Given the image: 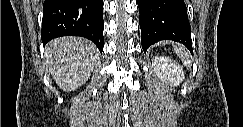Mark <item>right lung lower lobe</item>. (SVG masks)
<instances>
[{
    "mask_svg": "<svg viewBox=\"0 0 243 127\" xmlns=\"http://www.w3.org/2000/svg\"><path fill=\"white\" fill-rule=\"evenodd\" d=\"M103 0H45L41 39L45 45L60 36H82L103 51Z\"/></svg>",
    "mask_w": 243,
    "mask_h": 127,
    "instance_id": "1",
    "label": "right lung lower lobe"
}]
</instances>
